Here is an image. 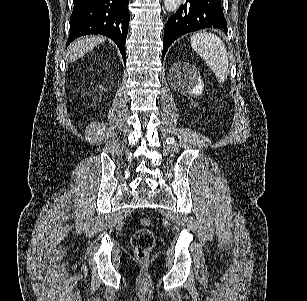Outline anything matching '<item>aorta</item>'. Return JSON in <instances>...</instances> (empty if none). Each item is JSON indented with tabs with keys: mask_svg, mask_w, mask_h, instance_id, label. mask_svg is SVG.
Listing matches in <instances>:
<instances>
[{
	"mask_svg": "<svg viewBox=\"0 0 307 301\" xmlns=\"http://www.w3.org/2000/svg\"><path fill=\"white\" fill-rule=\"evenodd\" d=\"M181 2L182 0H164L165 10H167V12H176Z\"/></svg>",
	"mask_w": 307,
	"mask_h": 301,
	"instance_id": "1",
	"label": "aorta"
}]
</instances>
